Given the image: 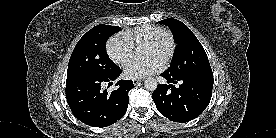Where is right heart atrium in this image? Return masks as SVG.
<instances>
[{
	"label": "right heart atrium",
	"mask_w": 276,
	"mask_h": 138,
	"mask_svg": "<svg viewBox=\"0 0 276 138\" xmlns=\"http://www.w3.org/2000/svg\"><path fill=\"white\" fill-rule=\"evenodd\" d=\"M106 51L110 59L119 66H124L134 54V47L120 35L109 38Z\"/></svg>",
	"instance_id": "obj_1"
}]
</instances>
